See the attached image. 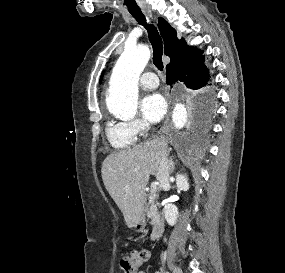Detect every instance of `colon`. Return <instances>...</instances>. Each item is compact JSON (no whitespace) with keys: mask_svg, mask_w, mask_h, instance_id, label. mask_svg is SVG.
<instances>
[{"mask_svg":"<svg viewBox=\"0 0 285 273\" xmlns=\"http://www.w3.org/2000/svg\"><path fill=\"white\" fill-rule=\"evenodd\" d=\"M149 257L148 251L136 250L123 257L120 261L124 273H137Z\"/></svg>","mask_w":285,"mask_h":273,"instance_id":"5ec220e1","label":"colon"}]
</instances>
